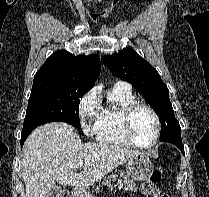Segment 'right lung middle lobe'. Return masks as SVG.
<instances>
[{"mask_svg":"<svg viewBox=\"0 0 209 197\" xmlns=\"http://www.w3.org/2000/svg\"><path fill=\"white\" fill-rule=\"evenodd\" d=\"M90 89L72 83L33 82L23 130L53 121L81 127L78 115L80 98Z\"/></svg>","mask_w":209,"mask_h":197,"instance_id":"dd1d6c3e","label":"right lung middle lobe"}]
</instances>
